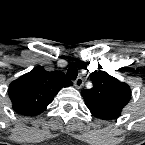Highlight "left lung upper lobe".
Instances as JSON below:
<instances>
[{"mask_svg":"<svg viewBox=\"0 0 145 145\" xmlns=\"http://www.w3.org/2000/svg\"><path fill=\"white\" fill-rule=\"evenodd\" d=\"M90 78L93 88L81 94L92 115L103 120L118 118L131 98L129 85L104 71L92 72Z\"/></svg>","mask_w":145,"mask_h":145,"instance_id":"1","label":"left lung upper lobe"}]
</instances>
